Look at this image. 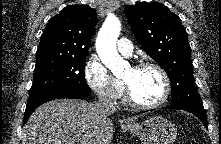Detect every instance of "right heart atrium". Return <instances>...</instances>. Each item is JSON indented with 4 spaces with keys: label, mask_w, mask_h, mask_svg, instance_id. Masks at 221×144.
I'll return each mask as SVG.
<instances>
[{
    "label": "right heart atrium",
    "mask_w": 221,
    "mask_h": 144,
    "mask_svg": "<svg viewBox=\"0 0 221 144\" xmlns=\"http://www.w3.org/2000/svg\"><path fill=\"white\" fill-rule=\"evenodd\" d=\"M84 78L90 89L100 98L116 101L124 93V84L114 77L96 56H92L84 67Z\"/></svg>",
    "instance_id": "d8ad5b80"
}]
</instances>
